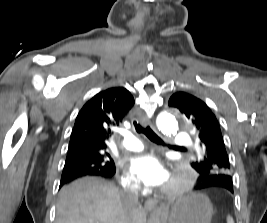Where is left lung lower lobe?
<instances>
[{
    "label": "left lung lower lobe",
    "mask_w": 267,
    "mask_h": 223,
    "mask_svg": "<svg viewBox=\"0 0 267 223\" xmlns=\"http://www.w3.org/2000/svg\"><path fill=\"white\" fill-rule=\"evenodd\" d=\"M196 178H201V181L195 186L197 192L232 195L234 183L230 173H196Z\"/></svg>",
    "instance_id": "1"
}]
</instances>
